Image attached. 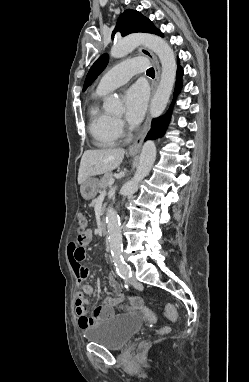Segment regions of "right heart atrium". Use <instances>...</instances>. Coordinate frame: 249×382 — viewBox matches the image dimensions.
I'll list each match as a JSON object with an SVG mask.
<instances>
[{"mask_svg":"<svg viewBox=\"0 0 249 382\" xmlns=\"http://www.w3.org/2000/svg\"><path fill=\"white\" fill-rule=\"evenodd\" d=\"M114 129L119 136L123 135L125 124L123 123L121 119L119 118L114 119Z\"/></svg>","mask_w":249,"mask_h":382,"instance_id":"d8ad5b80","label":"right heart atrium"}]
</instances>
